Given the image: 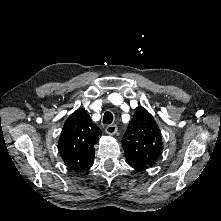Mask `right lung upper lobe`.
Segmentation results:
<instances>
[{
  "label": "right lung upper lobe",
  "instance_id": "1",
  "mask_svg": "<svg viewBox=\"0 0 221 221\" xmlns=\"http://www.w3.org/2000/svg\"><path fill=\"white\" fill-rule=\"evenodd\" d=\"M101 130L92 123L84 109H77L65 122L58 142L62 159L68 169L84 172L94 162V145Z\"/></svg>",
  "mask_w": 221,
  "mask_h": 221
}]
</instances>
